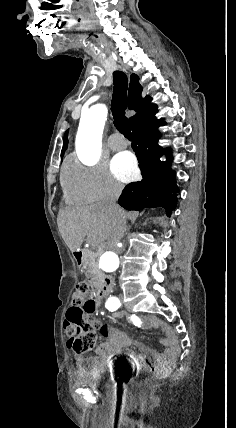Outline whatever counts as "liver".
I'll list each match as a JSON object with an SVG mask.
<instances>
[{
  "label": "liver",
  "mask_w": 236,
  "mask_h": 428,
  "mask_svg": "<svg viewBox=\"0 0 236 428\" xmlns=\"http://www.w3.org/2000/svg\"><path fill=\"white\" fill-rule=\"evenodd\" d=\"M59 232L70 252H76L83 240L104 250L121 244L126 222L104 204H91L83 208H64L57 218Z\"/></svg>",
  "instance_id": "liver-1"
}]
</instances>
